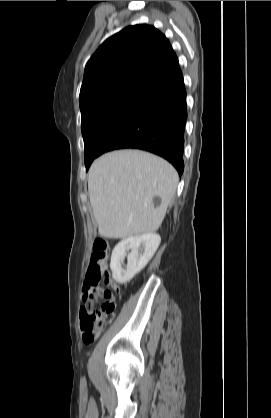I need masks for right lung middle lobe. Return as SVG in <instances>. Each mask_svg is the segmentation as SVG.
Returning a JSON list of instances; mask_svg holds the SVG:
<instances>
[{"instance_id":"dd1d6c3e","label":"right lung middle lobe","mask_w":271,"mask_h":418,"mask_svg":"<svg viewBox=\"0 0 271 418\" xmlns=\"http://www.w3.org/2000/svg\"><path fill=\"white\" fill-rule=\"evenodd\" d=\"M150 102L137 95L123 94L95 102L81 109L86 170L100 155L101 148L111 135Z\"/></svg>"}]
</instances>
